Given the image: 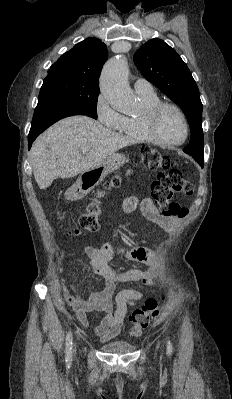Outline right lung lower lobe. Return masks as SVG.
Returning a JSON list of instances; mask_svg holds the SVG:
<instances>
[{"label": "right lung lower lobe", "instance_id": "98d812e1", "mask_svg": "<svg viewBox=\"0 0 232 399\" xmlns=\"http://www.w3.org/2000/svg\"><path fill=\"white\" fill-rule=\"evenodd\" d=\"M74 115H86L94 118L92 115L73 104L56 100L39 99L28 135V149L31 148L37 136L49 126L60 119Z\"/></svg>", "mask_w": 232, "mask_h": 399}]
</instances>
